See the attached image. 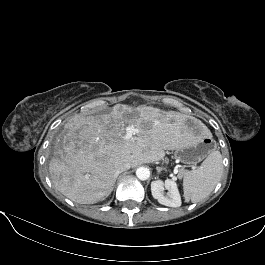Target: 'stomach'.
Masks as SVG:
<instances>
[{
  "instance_id": "1",
  "label": "stomach",
  "mask_w": 265,
  "mask_h": 265,
  "mask_svg": "<svg viewBox=\"0 0 265 265\" xmlns=\"http://www.w3.org/2000/svg\"><path fill=\"white\" fill-rule=\"evenodd\" d=\"M195 139L182 148L176 149L175 158L184 164H196L212 150V142L206 136L194 135Z\"/></svg>"
}]
</instances>
